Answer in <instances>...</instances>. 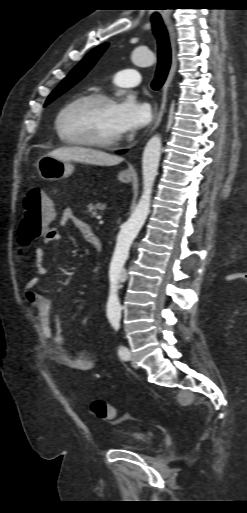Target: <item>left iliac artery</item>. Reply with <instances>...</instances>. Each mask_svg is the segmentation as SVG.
<instances>
[{"mask_svg": "<svg viewBox=\"0 0 247 513\" xmlns=\"http://www.w3.org/2000/svg\"><path fill=\"white\" fill-rule=\"evenodd\" d=\"M112 326H113V328H114L116 331H118V330H119V328H120V323H119V321H117V320L112 321ZM118 354H119V356H120V358H121L122 360L127 361V360H129V358H130V352H129V350H128L125 346H123V345H120V346H119V348H118Z\"/></svg>", "mask_w": 247, "mask_h": 513, "instance_id": "44dca946", "label": "left iliac artery"}]
</instances>
